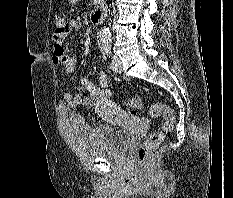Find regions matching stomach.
<instances>
[{
  "instance_id": "stomach-1",
  "label": "stomach",
  "mask_w": 233,
  "mask_h": 198,
  "mask_svg": "<svg viewBox=\"0 0 233 198\" xmlns=\"http://www.w3.org/2000/svg\"><path fill=\"white\" fill-rule=\"evenodd\" d=\"M80 0H68V2L71 4V5H75L79 2Z\"/></svg>"
}]
</instances>
